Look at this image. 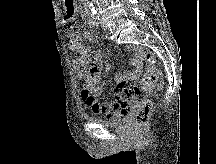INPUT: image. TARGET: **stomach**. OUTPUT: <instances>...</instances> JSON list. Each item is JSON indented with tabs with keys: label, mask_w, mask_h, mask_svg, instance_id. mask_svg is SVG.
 Instances as JSON below:
<instances>
[{
	"label": "stomach",
	"mask_w": 216,
	"mask_h": 164,
	"mask_svg": "<svg viewBox=\"0 0 216 164\" xmlns=\"http://www.w3.org/2000/svg\"><path fill=\"white\" fill-rule=\"evenodd\" d=\"M64 3H66V7H64L65 15H62V20H75L78 16V8L75 7V3H73V0H64Z\"/></svg>",
	"instance_id": "1"
}]
</instances>
